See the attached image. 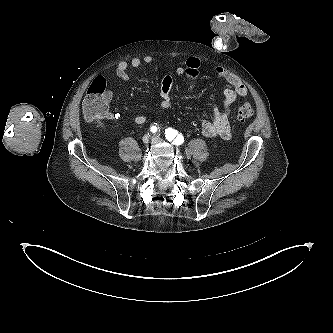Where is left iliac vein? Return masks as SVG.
I'll use <instances>...</instances> for the list:
<instances>
[{"instance_id":"1","label":"left iliac vein","mask_w":333,"mask_h":333,"mask_svg":"<svg viewBox=\"0 0 333 333\" xmlns=\"http://www.w3.org/2000/svg\"><path fill=\"white\" fill-rule=\"evenodd\" d=\"M152 141L153 143H159L162 142V139H160L158 136H155Z\"/></svg>"}]
</instances>
